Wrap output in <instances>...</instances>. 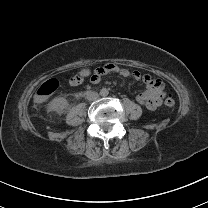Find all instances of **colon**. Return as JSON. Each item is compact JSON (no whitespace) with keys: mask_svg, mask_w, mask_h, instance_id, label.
<instances>
[{"mask_svg":"<svg viewBox=\"0 0 208 208\" xmlns=\"http://www.w3.org/2000/svg\"><path fill=\"white\" fill-rule=\"evenodd\" d=\"M89 69L84 68L81 72L79 70H76L74 72V75L69 81L68 84L70 86H73L75 84H84L86 82V75L88 73ZM61 85V80L57 76H52L51 78H48L44 83H42L36 92V98L40 102H45L49 95L57 89ZM165 105L168 108H173L175 106V102L172 99V97H168L165 100Z\"/></svg>","mask_w":208,"mask_h":208,"instance_id":"5ec220e1","label":"colon"}]
</instances>
